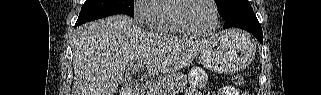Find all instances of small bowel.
<instances>
[{
  "mask_svg": "<svg viewBox=\"0 0 321 95\" xmlns=\"http://www.w3.org/2000/svg\"><path fill=\"white\" fill-rule=\"evenodd\" d=\"M211 94H213V95H239L237 89L233 86H230V85L224 86Z\"/></svg>",
  "mask_w": 321,
  "mask_h": 95,
  "instance_id": "obj_1",
  "label": "small bowel"
}]
</instances>
